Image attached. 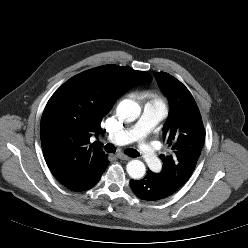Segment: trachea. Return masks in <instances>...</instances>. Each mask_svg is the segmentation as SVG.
<instances>
[{"label":"trachea","mask_w":248,"mask_h":248,"mask_svg":"<svg viewBox=\"0 0 248 248\" xmlns=\"http://www.w3.org/2000/svg\"><path fill=\"white\" fill-rule=\"evenodd\" d=\"M104 149L108 153H114L116 151V147L112 144H106L104 146ZM125 154H127L130 157L136 158L139 156V153L135 149H127L125 150Z\"/></svg>","instance_id":"obj_1"}]
</instances>
